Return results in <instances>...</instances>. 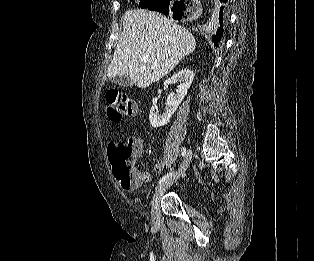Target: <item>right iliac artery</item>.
Returning <instances> with one entry per match:
<instances>
[{"instance_id": "right-iliac-artery-1", "label": "right iliac artery", "mask_w": 314, "mask_h": 261, "mask_svg": "<svg viewBox=\"0 0 314 261\" xmlns=\"http://www.w3.org/2000/svg\"><path fill=\"white\" fill-rule=\"evenodd\" d=\"M182 152V156L184 157L186 155V149L185 147H182L181 149ZM174 174V171L167 173L166 175H164L160 180H159V184H161V182L167 180L169 177H171Z\"/></svg>"}]
</instances>
